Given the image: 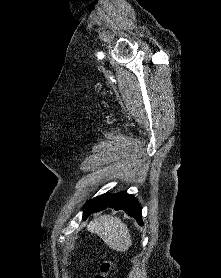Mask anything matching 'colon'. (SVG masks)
<instances>
[{
    "mask_svg": "<svg viewBox=\"0 0 221 278\" xmlns=\"http://www.w3.org/2000/svg\"><path fill=\"white\" fill-rule=\"evenodd\" d=\"M113 275V263L109 260H106L100 264L99 272L96 274L95 278H110Z\"/></svg>",
    "mask_w": 221,
    "mask_h": 278,
    "instance_id": "1",
    "label": "colon"
}]
</instances>
